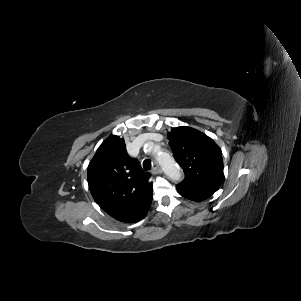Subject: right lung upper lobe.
<instances>
[{
    "mask_svg": "<svg viewBox=\"0 0 301 301\" xmlns=\"http://www.w3.org/2000/svg\"><path fill=\"white\" fill-rule=\"evenodd\" d=\"M87 174L94 200L111 217L121 222H137L150 208V175L128 156L124 139H106L89 163Z\"/></svg>",
    "mask_w": 301,
    "mask_h": 301,
    "instance_id": "obj_1",
    "label": "right lung upper lobe"
}]
</instances>
